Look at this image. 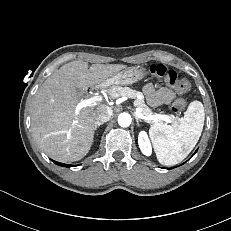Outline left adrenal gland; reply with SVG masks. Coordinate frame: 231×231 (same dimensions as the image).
<instances>
[{
  "label": "left adrenal gland",
  "mask_w": 231,
  "mask_h": 231,
  "mask_svg": "<svg viewBox=\"0 0 231 231\" xmlns=\"http://www.w3.org/2000/svg\"><path fill=\"white\" fill-rule=\"evenodd\" d=\"M135 118H136L137 126H139L140 125L139 122H141V120L137 116H135Z\"/></svg>",
  "instance_id": "a2214340"
}]
</instances>
